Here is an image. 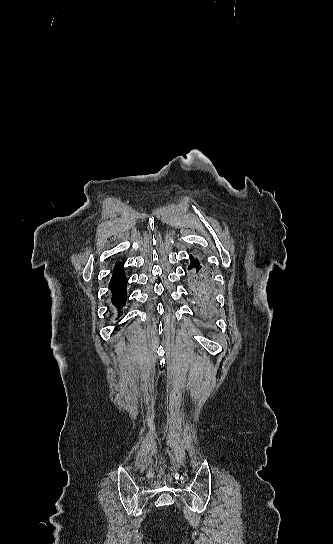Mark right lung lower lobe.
I'll list each match as a JSON object with an SVG mask.
<instances>
[{
  "label": "right lung lower lobe",
  "mask_w": 333,
  "mask_h": 544,
  "mask_svg": "<svg viewBox=\"0 0 333 544\" xmlns=\"http://www.w3.org/2000/svg\"><path fill=\"white\" fill-rule=\"evenodd\" d=\"M127 278L124 274L123 267L114 271L111 281L109 283V288L112 293V304L121 312L122 307L126 304L127 293Z\"/></svg>",
  "instance_id": "right-lung-lower-lobe-1"
}]
</instances>
